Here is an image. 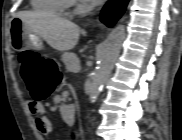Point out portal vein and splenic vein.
<instances>
[{
  "label": "portal vein and splenic vein",
  "instance_id": "portal-vein-and-splenic-vein-1",
  "mask_svg": "<svg viewBox=\"0 0 182 140\" xmlns=\"http://www.w3.org/2000/svg\"><path fill=\"white\" fill-rule=\"evenodd\" d=\"M80 70V66L78 65L74 72H78Z\"/></svg>",
  "mask_w": 182,
  "mask_h": 140
}]
</instances>
